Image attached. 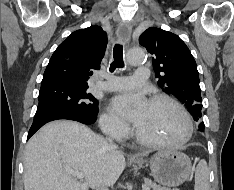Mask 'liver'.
<instances>
[{"instance_id": "obj_1", "label": "liver", "mask_w": 234, "mask_h": 190, "mask_svg": "<svg viewBox=\"0 0 234 190\" xmlns=\"http://www.w3.org/2000/svg\"><path fill=\"white\" fill-rule=\"evenodd\" d=\"M147 155V153H144ZM121 151L90 128L73 121H54L43 126L25 149V190H88L104 183L113 185L125 169ZM69 170L81 172L78 181Z\"/></svg>"}]
</instances>
